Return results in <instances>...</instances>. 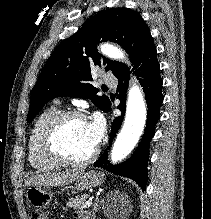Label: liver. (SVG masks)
<instances>
[{
    "mask_svg": "<svg viewBox=\"0 0 211 219\" xmlns=\"http://www.w3.org/2000/svg\"><path fill=\"white\" fill-rule=\"evenodd\" d=\"M84 170H67L59 173H45L31 176L26 184L31 186H64L77 180Z\"/></svg>",
    "mask_w": 211,
    "mask_h": 219,
    "instance_id": "1",
    "label": "liver"
}]
</instances>
